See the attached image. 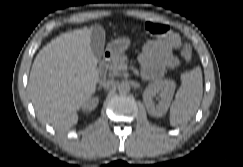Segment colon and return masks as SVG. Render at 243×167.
I'll return each instance as SVG.
<instances>
[{
  "label": "colon",
  "mask_w": 243,
  "mask_h": 167,
  "mask_svg": "<svg viewBox=\"0 0 243 167\" xmlns=\"http://www.w3.org/2000/svg\"><path fill=\"white\" fill-rule=\"evenodd\" d=\"M142 30L144 33L148 35H161L167 32L168 26L160 21H148L143 25ZM181 54L187 63L191 62V48L185 42V40H183L181 44Z\"/></svg>",
  "instance_id": "5ec220e1"
}]
</instances>
